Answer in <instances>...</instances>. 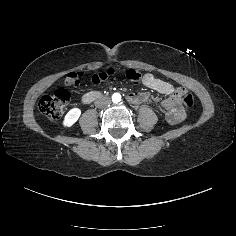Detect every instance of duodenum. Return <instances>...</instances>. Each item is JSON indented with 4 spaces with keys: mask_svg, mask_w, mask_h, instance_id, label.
Masks as SVG:
<instances>
[{
    "mask_svg": "<svg viewBox=\"0 0 236 236\" xmlns=\"http://www.w3.org/2000/svg\"><path fill=\"white\" fill-rule=\"evenodd\" d=\"M100 97L99 92H88L86 93L82 100L84 103H90ZM149 100L148 96L145 94H130L129 101L132 103H145ZM161 112L166 116V118L177 123L183 119L184 111L181 106L179 98L174 95L166 103L160 106Z\"/></svg>",
    "mask_w": 236,
    "mask_h": 236,
    "instance_id": "1",
    "label": "duodenum"
}]
</instances>
